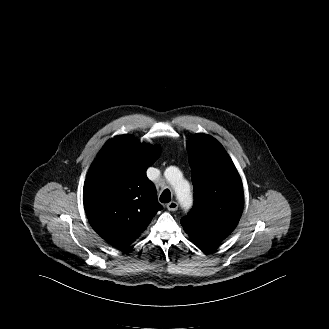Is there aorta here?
Wrapping results in <instances>:
<instances>
[{"instance_id": "762f6f07", "label": "aorta", "mask_w": 329, "mask_h": 329, "mask_svg": "<svg viewBox=\"0 0 329 329\" xmlns=\"http://www.w3.org/2000/svg\"><path fill=\"white\" fill-rule=\"evenodd\" d=\"M165 177L173 187L180 204L184 207L190 206L192 203L190 186L189 183L183 179L180 170L177 167L170 166L165 171Z\"/></svg>"}]
</instances>
